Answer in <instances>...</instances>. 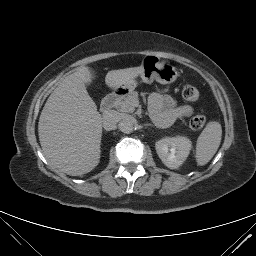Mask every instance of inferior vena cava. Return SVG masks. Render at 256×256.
<instances>
[{
  "mask_svg": "<svg viewBox=\"0 0 256 256\" xmlns=\"http://www.w3.org/2000/svg\"><path fill=\"white\" fill-rule=\"evenodd\" d=\"M120 121V114L117 111L109 110L103 114V127L106 130H113Z\"/></svg>",
  "mask_w": 256,
  "mask_h": 256,
  "instance_id": "602c4592",
  "label": "inferior vena cava"
}]
</instances>
